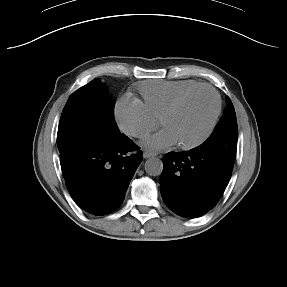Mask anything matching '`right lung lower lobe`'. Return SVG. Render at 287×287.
Wrapping results in <instances>:
<instances>
[{
	"label": "right lung lower lobe",
	"instance_id": "obj_1",
	"mask_svg": "<svg viewBox=\"0 0 287 287\" xmlns=\"http://www.w3.org/2000/svg\"><path fill=\"white\" fill-rule=\"evenodd\" d=\"M120 133L102 142L80 147L61 158L66 187L79 207L105 215L122 203L128 185L142 161V152Z\"/></svg>",
	"mask_w": 287,
	"mask_h": 287
}]
</instances>
